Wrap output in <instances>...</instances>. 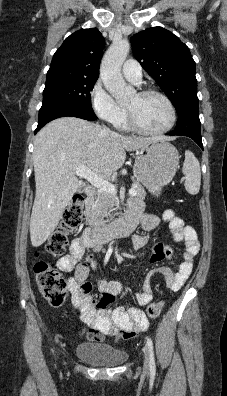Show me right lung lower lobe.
I'll use <instances>...</instances> for the list:
<instances>
[{"mask_svg":"<svg viewBox=\"0 0 227 396\" xmlns=\"http://www.w3.org/2000/svg\"><path fill=\"white\" fill-rule=\"evenodd\" d=\"M66 116L77 117L88 121H94L97 119L95 114L87 113L75 105L68 103H56L41 107L39 111L38 126L35 130V134L48 122Z\"/></svg>","mask_w":227,"mask_h":396,"instance_id":"obj_1","label":"right lung lower lobe"}]
</instances>
